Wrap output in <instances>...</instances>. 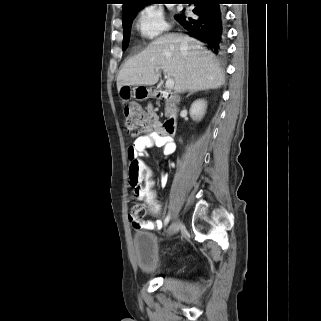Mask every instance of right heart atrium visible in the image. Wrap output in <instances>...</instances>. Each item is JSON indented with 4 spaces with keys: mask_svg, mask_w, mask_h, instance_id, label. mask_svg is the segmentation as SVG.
Returning a JSON list of instances; mask_svg holds the SVG:
<instances>
[{
    "mask_svg": "<svg viewBox=\"0 0 321 321\" xmlns=\"http://www.w3.org/2000/svg\"><path fill=\"white\" fill-rule=\"evenodd\" d=\"M136 25L140 33L149 39L160 36L169 28L163 10L154 5L145 6L140 10Z\"/></svg>",
    "mask_w": 321,
    "mask_h": 321,
    "instance_id": "right-heart-atrium-1",
    "label": "right heart atrium"
}]
</instances>
